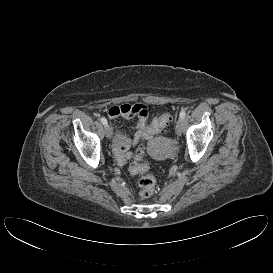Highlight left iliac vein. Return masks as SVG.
I'll return each mask as SVG.
<instances>
[{"instance_id":"obj_1","label":"left iliac vein","mask_w":273,"mask_h":273,"mask_svg":"<svg viewBox=\"0 0 273 273\" xmlns=\"http://www.w3.org/2000/svg\"><path fill=\"white\" fill-rule=\"evenodd\" d=\"M175 131L178 136L182 134L183 131V120L181 118L177 119L176 124H175Z\"/></svg>"}]
</instances>
